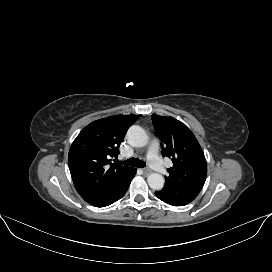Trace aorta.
<instances>
[{"mask_svg": "<svg viewBox=\"0 0 272 272\" xmlns=\"http://www.w3.org/2000/svg\"><path fill=\"white\" fill-rule=\"evenodd\" d=\"M129 142L135 147H144L148 143V135L146 131L138 126L133 125L127 131ZM148 185L151 189L159 191L164 187L165 179L161 174L151 173L148 178Z\"/></svg>", "mask_w": 272, "mask_h": 272, "instance_id": "aorta-1", "label": "aorta"}]
</instances>
